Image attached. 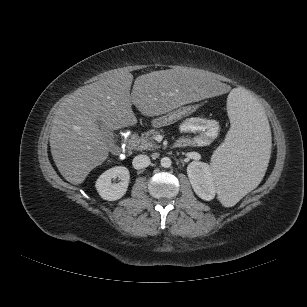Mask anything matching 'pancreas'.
<instances>
[{
	"label": "pancreas",
	"mask_w": 307,
	"mask_h": 307,
	"mask_svg": "<svg viewBox=\"0 0 307 307\" xmlns=\"http://www.w3.org/2000/svg\"><path fill=\"white\" fill-rule=\"evenodd\" d=\"M159 134L157 130H149L145 133H142L141 136L135 135L132 138L133 146L137 150H154L158 148V145L154 141V137Z\"/></svg>",
	"instance_id": "pancreas-1"
}]
</instances>
